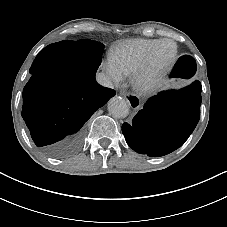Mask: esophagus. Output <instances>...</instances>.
<instances>
[{
    "label": "esophagus",
    "instance_id": "34e87169",
    "mask_svg": "<svg viewBox=\"0 0 227 227\" xmlns=\"http://www.w3.org/2000/svg\"><path fill=\"white\" fill-rule=\"evenodd\" d=\"M119 93L121 96H123L126 99V101L128 102L129 106L132 109L138 110L140 108L141 101L136 95L130 94L126 92L124 89H120Z\"/></svg>",
    "mask_w": 227,
    "mask_h": 227
}]
</instances>
